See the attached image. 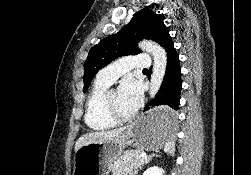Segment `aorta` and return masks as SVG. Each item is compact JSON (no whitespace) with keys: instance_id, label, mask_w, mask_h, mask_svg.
<instances>
[{"instance_id":"1","label":"aorta","mask_w":251,"mask_h":175,"mask_svg":"<svg viewBox=\"0 0 251 175\" xmlns=\"http://www.w3.org/2000/svg\"><path fill=\"white\" fill-rule=\"evenodd\" d=\"M139 48L153 56L154 62L150 80L149 95L150 97H155L157 91L161 88V84L165 76L167 68V54L164 48H161L159 44H155V42H147V40L140 42Z\"/></svg>"}]
</instances>
